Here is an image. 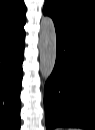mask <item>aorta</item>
Instances as JSON below:
<instances>
[{
    "label": "aorta",
    "instance_id": "aorta-1",
    "mask_svg": "<svg viewBox=\"0 0 95 130\" xmlns=\"http://www.w3.org/2000/svg\"><path fill=\"white\" fill-rule=\"evenodd\" d=\"M40 73L45 80L50 77L56 62V32L51 17L45 16L40 23Z\"/></svg>",
    "mask_w": 95,
    "mask_h": 130
}]
</instances>
